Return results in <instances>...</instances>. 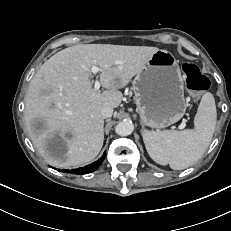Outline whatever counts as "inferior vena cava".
Listing matches in <instances>:
<instances>
[{"instance_id": "inferior-vena-cava-1", "label": "inferior vena cava", "mask_w": 231, "mask_h": 231, "mask_svg": "<svg viewBox=\"0 0 231 231\" xmlns=\"http://www.w3.org/2000/svg\"><path fill=\"white\" fill-rule=\"evenodd\" d=\"M113 114V108L110 106H104L101 108V115L104 119L111 117Z\"/></svg>"}]
</instances>
